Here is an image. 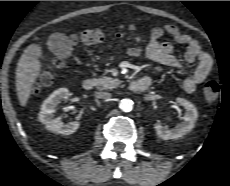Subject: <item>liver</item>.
Instances as JSON below:
<instances>
[{"label":"liver","instance_id":"6515ba94","mask_svg":"<svg viewBox=\"0 0 230 186\" xmlns=\"http://www.w3.org/2000/svg\"><path fill=\"white\" fill-rule=\"evenodd\" d=\"M43 58L39 44H30L21 55L16 67V91L21 106H26L32 93V86L40 77Z\"/></svg>","mask_w":230,"mask_h":186}]
</instances>
